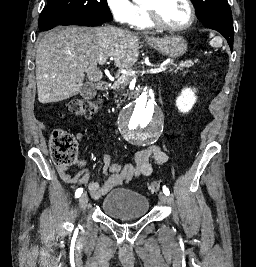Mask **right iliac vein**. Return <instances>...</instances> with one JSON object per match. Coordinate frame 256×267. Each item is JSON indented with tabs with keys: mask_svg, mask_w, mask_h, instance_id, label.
Returning a JSON list of instances; mask_svg holds the SVG:
<instances>
[{
	"mask_svg": "<svg viewBox=\"0 0 256 267\" xmlns=\"http://www.w3.org/2000/svg\"><path fill=\"white\" fill-rule=\"evenodd\" d=\"M87 204H88V196L86 194H83L79 199V206L82 212H85Z\"/></svg>",
	"mask_w": 256,
	"mask_h": 267,
	"instance_id": "63e3f726",
	"label": "right iliac vein"
}]
</instances>
